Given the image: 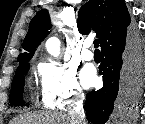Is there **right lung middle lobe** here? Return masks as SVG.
<instances>
[{"mask_svg":"<svg viewBox=\"0 0 145 124\" xmlns=\"http://www.w3.org/2000/svg\"><path fill=\"white\" fill-rule=\"evenodd\" d=\"M29 69V65L26 63H23L17 70L16 75L14 76L9 101L12 105H22L23 104V92H24V84H25V78L27 71Z\"/></svg>","mask_w":145,"mask_h":124,"instance_id":"right-lung-middle-lobe-1","label":"right lung middle lobe"}]
</instances>
